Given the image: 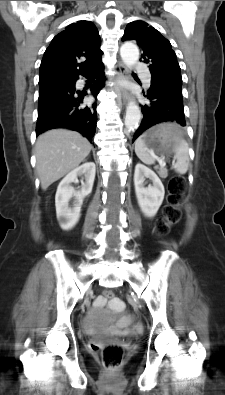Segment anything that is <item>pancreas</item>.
<instances>
[{
	"instance_id": "cf45deb5",
	"label": "pancreas",
	"mask_w": 225,
	"mask_h": 395,
	"mask_svg": "<svg viewBox=\"0 0 225 395\" xmlns=\"http://www.w3.org/2000/svg\"><path fill=\"white\" fill-rule=\"evenodd\" d=\"M159 174L162 178H166L167 177V171L163 170V171H159Z\"/></svg>"
}]
</instances>
